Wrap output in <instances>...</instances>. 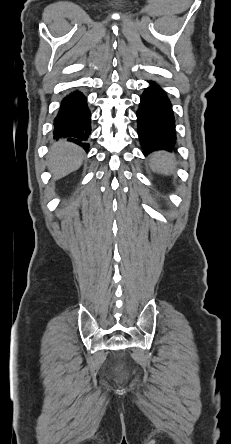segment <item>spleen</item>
I'll list each match as a JSON object with an SVG mask.
<instances>
[{
  "label": "spleen",
  "instance_id": "3e777b00",
  "mask_svg": "<svg viewBox=\"0 0 231 444\" xmlns=\"http://www.w3.org/2000/svg\"><path fill=\"white\" fill-rule=\"evenodd\" d=\"M175 166V158L171 153L159 151L155 152L151 156L150 167L153 171L164 175H169L173 173Z\"/></svg>",
  "mask_w": 231,
  "mask_h": 444
}]
</instances>
